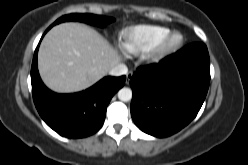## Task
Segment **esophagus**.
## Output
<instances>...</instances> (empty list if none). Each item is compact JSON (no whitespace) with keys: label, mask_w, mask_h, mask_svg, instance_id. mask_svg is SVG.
I'll return each instance as SVG.
<instances>
[{"label":"esophagus","mask_w":248,"mask_h":165,"mask_svg":"<svg viewBox=\"0 0 248 165\" xmlns=\"http://www.w3.org/2000/svg\"><path fill=\"white\" fill-rule=\"evenodd\" d=\"M133 73L130 71L126 74V84H129L130 79L132 78Z\"/></svg>","instance_id":"1"}]
</instances>
